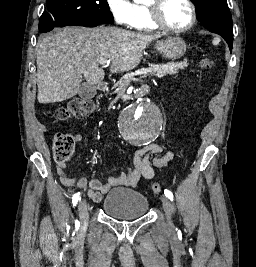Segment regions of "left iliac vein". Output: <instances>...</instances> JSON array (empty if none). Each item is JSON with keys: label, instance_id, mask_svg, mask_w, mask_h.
I'll return each mask as SVG.
<instances>
[{"label": "left iliac vein", "instance_id": "1", "mask_svg": "<svg viewBox=\"0 0 256 267\" xmlns=\"http://www.w3.org/2000/svg\"><path fill=\"white\" fill-rule=\"evenodd\" d=\"M161 202H162V206L166 212V220H167V224L169 228L173 227V223L171 220V212H172V203L171 201L168 199V197L166 196H161Z\"/></svg>", "mask_w": 256, "mask_h": 267}]
</instances>
